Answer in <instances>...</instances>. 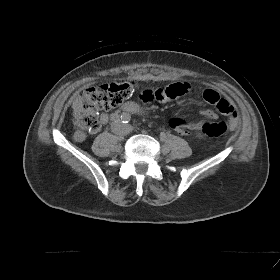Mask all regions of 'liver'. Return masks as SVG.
I'll return each instance as SVG.
<instances>
[{
  "instance_id": "liver-1",
  "label": "liver",
  "mask_w": 280,
  "mask_h": 280,
  "mask_svg": "<svg viewBox=\"0 0 280 280\" xmlns=\"http://www.w3.org/2000/svg\"><path fill=\"white\" fill-rule=\"evenodd\" d=\"M72 108L74 110V116H78L83 110V102L80 96L76 97L73 101Z\"/></svg>"
}]
</instances>
